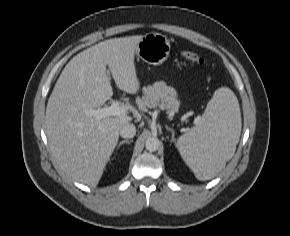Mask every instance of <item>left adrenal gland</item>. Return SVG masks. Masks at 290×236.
I'll use <instances>...</instances> for the list:
<instances>
[{
    "label": "left adrenal gland",
    "mask_w": 290,
    "mask_h": 236,
    "mask_svg": "<svg viewBox=\"0 0 290 236\" xmlns=\"http://www.w3.org/2000/svg\"><path fill=\"white\" fill-rule=\"evenodd\" d=\"M166 127V129L168 130V131H170L171 132V134H172V137H171V142H175V133H174V131H173V129H171L170 127H168V126H165Z\"/></svg>",
    "instance_id": "1"
}]
</instances>
